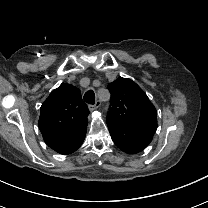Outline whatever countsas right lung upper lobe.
Returning <instances> with one entry per match:
<instances>
[{"label": "right lung upper lobe", "mask_w": 208, "mask_h": 208, "mask_svg": "<svg viewBox=\"0 0 208 208\" xmlns=\"http://www.w3.org/2000/svg\"><path fill=\"white\" fill-rule=\"evenodd\" d=\"M89 110L78 88L62 83L40 108L39 128L47 145L67 140L87 128Z\"/></svg>", "instance_id": "1"}]
</instances>
